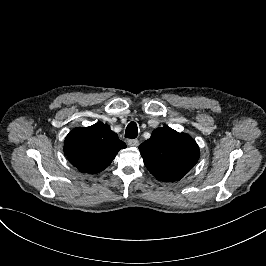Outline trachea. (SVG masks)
<instances>
[{"mask_svg": "<svg viewBox=\"0 0 266 266\" xmlns=\"http://www.w3.org/2000/svg\"><path fill=\"white\" fill-rule=\"evenodd\" d=\"M138 135V127L135 122H130L126 128L125 137L129 139H134Z\"/></svg>", "mask_w": 266, "mask_h": 266, "instance_id": "trachea-1", "label": "trachea"}]
</instances>
